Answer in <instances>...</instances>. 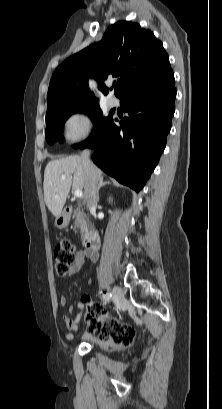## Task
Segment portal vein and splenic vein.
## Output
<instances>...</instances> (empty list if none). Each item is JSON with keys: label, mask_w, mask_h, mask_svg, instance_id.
Segmentation results:
<instances>
[{"label": "portal vein and splenic vein", "mask_w": 222, "mask_h": 409, "mask_svg": "<svg viewBox=\"0 0 222 409\" xmlns=\"http://www.w3.org/2000/svg\"><path fill=\"white\" fill-rule=\"evenodd\" d=\"M62 179H64V177ZM74 195L77 198H81L83 196V192H82V190H75Z\"/></svg>", "instance_id": "18ae733b"}]
</instances>
